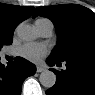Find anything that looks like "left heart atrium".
I'll return each instance as SVG.
<instances>
[{"mask_svg":"<svg viewBox=\"0 0 95 95\" xmlns=\"http://www.w3.org/2000/svg\"><path fill=\"white\" fill-rule=\"evenodd\" d=\"M47 53L48 49L45 45L35 43H27L19 50L20 56L34 63L39 62Z\"/></svg>","mask_w":95,"mask_h":95,"instance_id":"obj_1","label":"left heart atrium"}]
</instances>
